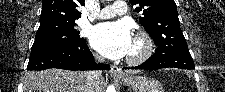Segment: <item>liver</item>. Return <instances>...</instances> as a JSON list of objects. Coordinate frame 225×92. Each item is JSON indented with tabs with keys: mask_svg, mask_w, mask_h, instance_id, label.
Masks as SVG:
<instances>
[{
	"mask_svg": "<svg viewBox=\"0 0 225 92\" xmlns=\"http://www.w3.org/2000/svg\"><path fill=\"white\" fill-rule=\"evenodd\" d=\"M90 72L47 69L28 72L23 79V92H90L87 77ZM136 74L138 71H129ZM104 89V78L99 80L97 92Z\"/></svg>",
	"mask_w": 225,
	"mask_h": 92,
	"instance_id": "6515ba94",
	"label": "liver"
}]
</instances>
